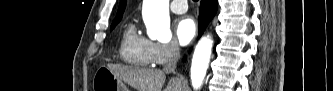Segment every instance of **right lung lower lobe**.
<instances>
[{
  "instance_id": "98d812e1",
  "label": "right lung lower lobe",
  "mask_w": 333,
  "mask_h": 91,
  "mask_svg": "<svg viewBox=\"0 0 333 91\" xmlns=\"http://www.w3.org/2000/svg\"><path fill=\"white\" fill-rule=\"evenodd\" d=\"M217 0H201L199 14V37L217 12Z\"/></svg>"
}]
</instances>
